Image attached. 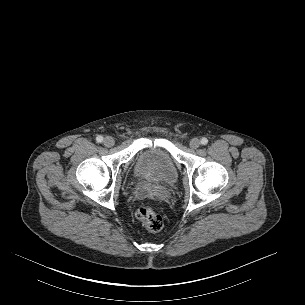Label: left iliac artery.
<instances>
[{
	"mask_svg": "<svg viewBox=\"0 0 305 305\" xmlns=\"http://www.w3.org/2000/svg\"><path fill=\"white\" fill-rule=\"evenodd\" d=\"M207 143H208V139L205 138V137H203V138L201 139V144H202V145H206Z\"/></svg>",
	"mask_w": 305,
	"mask_h": 305,
	"instance_id": "1",
	"label": "left iliac artery"
}]
</instances>
